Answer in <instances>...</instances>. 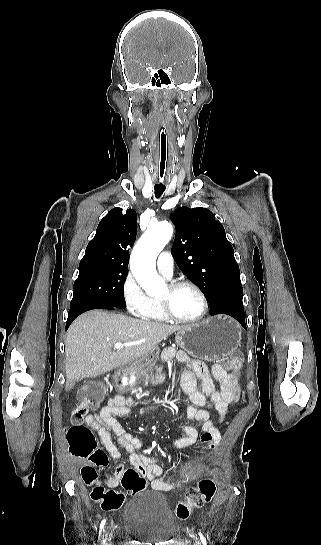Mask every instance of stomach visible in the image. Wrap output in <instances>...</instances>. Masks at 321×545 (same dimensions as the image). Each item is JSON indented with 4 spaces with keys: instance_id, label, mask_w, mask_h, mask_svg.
<instances>
[{
    "instance_id": "1",
    "label": "stomach",
    "mask_w": 321,
    "mask_h": 545,
    "mask_svg": "<svg viewBox=\"0 0 321 545\" xmlns=\"http://www.w3.org/2000/svg\"><path fill=\"white\" fill-rule=\"evenodd\" d=\"M241 327L237 321L225 315L217 317H208L201 323H194L190 327H184L181 331L175 333L176 345L189 353L195 359L203 361H217L221 357H226L235 349H238L241 341ZM159 357V349H153L147 355L129 363L127 367H119L114 375L116 387L121 377H127L128 371H137V373H146L153 369ZM128 389V387H125Z\"/></svg>"
}]
</instances>
